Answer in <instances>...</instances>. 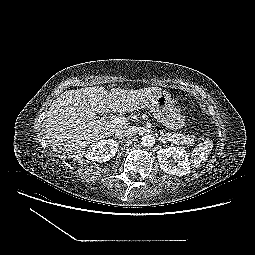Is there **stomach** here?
<instances>
[{
    "mask_svg": "<svg viewBox=\"0 0 255 255\" xmlns=\"http://www.w3.org/2000/svg\"><path fill=\"white\" fill-rule=\"evenodd\" d=\"M155 118L165 127L178 130L185 125V117L175 106L171 96L165 90H159L149 104Z\"/></svg>",
    "mask_w": 255,
    "mask_h": 255,
    "instance_id": "obj_1",
    "label": "stomach"
}]
</instances>
